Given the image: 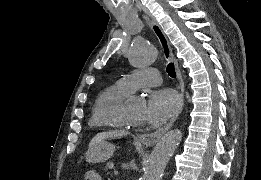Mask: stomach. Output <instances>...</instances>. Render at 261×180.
<instances>
[{
    "label": "stomach",
    "instance_id": "0dacf381",
    "mask_svg": "<svg viewBox=\"0 0 261 180\" xmlns=\"http://www.w3.org/2000/svg\"><path fill=\"white\" fill-rule=\"evenodd\" d=\"M115 152V145L101 141L94 144L86 153V161L89 163H100L107 161Z\"/></svg>",
    "mask_w": 261,
    "mask_h": 180
}]
</instances>
